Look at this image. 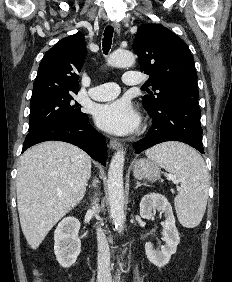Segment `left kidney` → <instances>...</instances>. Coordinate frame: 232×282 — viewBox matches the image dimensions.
I'll return each instance as SVG.
<instances>
[{
  "mask_svg": "<svg viewBox=\"0 0 232 282\" xmlns=\"http://www.w3.org/2000/svg\"><path fill=\"white\" fill-rule=\"evenodd\" d=\"M155 209L164 213L166 217L162 232L165 245H163L159 251L154 249L150 242H147L145 244V251L151 263L157 267H163L169 262L171 255L176 252L180 237L175 225L172 206L167 198L159 193H149L145 195L140 202L141 217L151 219L153 217V210Z\"/></svg>",
  "mask_w": 232,
  "mask_h": 282,
  "instance_id": "obj_1",
  "label": "left kidney"
}]
</instances>
